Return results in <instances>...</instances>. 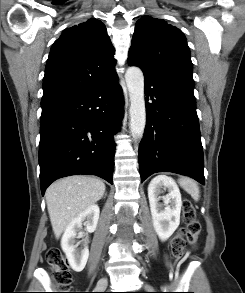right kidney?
I'll return each instance as SVG.
<instances>
[{"label": "right kidney", "mask_w": 245, "mask_h": 293, "mask_svg": "<svg viewBox=\"0 0 245 293\" xmlns=\"http://www.w3.org/2000/svg\"><path fill=\"white\" fill-rule=\"evenodd\" d=\"M99 214L100 210L97 205L94 204L88 207L85 211L71 220L62 236V250L66 254L71 268L76 272H81L85 268L89 257L87 243L84 245L83 249H77V246L75 245L77 231L82 227V222L86 220V231L88 233L94 232L97 227Z\"/></svg>", "instance_id": "ca27d5eb"}]
</instances>
